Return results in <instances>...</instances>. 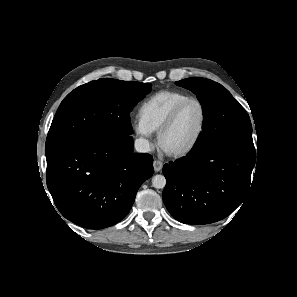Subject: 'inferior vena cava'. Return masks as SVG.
I'll list each match as a JSON object with an SVG mask.
<instances>
[{
  "label": "inferior vena cava",
  "mask_w": 297,
  "mask_h": 297,
  "mask_svg": "<svg viewBox=\"0 0 297 297\" xmlns=\"http://www.w3.org/2000/svg\"><path fill=\"white\" fill-rule=\"evenodd\" d=\"M135 150L139 153H148L151 150L150 143L145 138H138L134 142Z\"/></svg>",
  "instance_id": "inferior-vena-cava-1"
}]
</instances>
